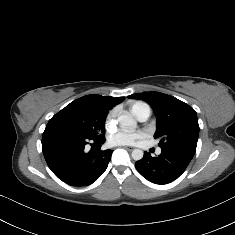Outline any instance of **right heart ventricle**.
Wrapping results in <instances>:
<instances>
[{"mask_svg": "<svg viewBox=\"0 0 235 235\" xmlns=\"http://www.w3.org/2000/svg\"><path fill=\"white\" fill-rule=\"evenodd\" d=\"M139 104H142V103H136L133 105V107H132L133 111L135 110L136 106H138Z\"/></svg>", "mask_w": 235, "mask_h": 235, "instance_id": "e07e8e85", "label": "right heart ventricle"}]
</instances>
